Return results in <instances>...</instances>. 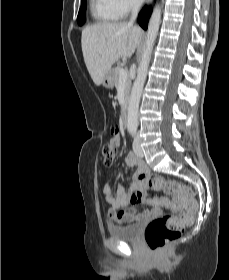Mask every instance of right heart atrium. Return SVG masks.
Masks as SVG:
<instances>
[{"mask_svg":"<svg viewBox=\"0 0 229 280\" xmlns=\"http://www.w3.org/2000/svg\"><path fill=\"white\" fill-rule=\"evenodd\" d=\"M112 7L116 10L120 18H125L135 11L141 0H109Z\"/></svg>","mask_w":229,"mask_h":280,"instance_id":"1","label":"right heart atrium"}]
</instances>
